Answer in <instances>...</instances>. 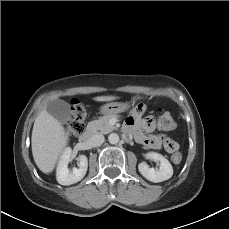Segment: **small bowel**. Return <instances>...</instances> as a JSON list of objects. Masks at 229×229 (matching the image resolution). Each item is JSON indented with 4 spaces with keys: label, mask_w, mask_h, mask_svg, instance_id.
Listing matches in <instances>:
<instances>
[{
    "label": "small bowel",
    "mask_w": 229,
    "mask_h": 229,
    "mask_svg": "<svg viewBox=\"0 0 229 229\" xmlns=\"http://www.w3.org/2000/svg\"><path fill=\"white\" fill-rule=\"evenodd\" d=\"M146 111L144 105L135 106L129 113L125 120L124 131L132 135L135 140L149 149H160L163 144L162 137L152 135L156 127L164 131H171L174 129L175 124L172 128H162L161 122L156 123L153 117H143ZM162 117H170L168 113H164Z\"/></svg>",
    "instance_id": "c3829d8e"
}]
</instances>
